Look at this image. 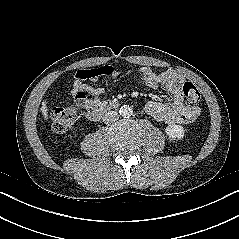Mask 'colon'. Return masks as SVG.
<instances>
[{"instance_id":"obj_1","label":"colon","mask_w":239,"mask_h":239,"mask_svg":"<svg viewBox=\"0 0 239 239\" xmlns=\"http://www.w3.org/2000/svg\"><path fill=\"white\" fill-rule=\"evenodd\" d=\"M100 71H94L93 74H99ZM182 91L190 104H199L201 93L199 89L191 82L186 81L182 84ZM76 119V110L73 107H59L51 113V126L55 133H64L68 131Z\"/></svg>"}]
</instances>
